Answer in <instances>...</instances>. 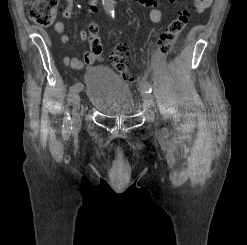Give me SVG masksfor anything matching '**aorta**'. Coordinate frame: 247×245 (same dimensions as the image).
<instances>
[{
	"label": "aorta",
	"mask_w": 247,
	"mask_h": 245,
	"mask_svg": "<svg viewBox=\"0 0 247 245\" xmlns=\"http://www.w3.org/2000/svg\"><path fill=\"white\" fill-rule=\"evenodd\" d=\"M105 10L107 12V14L111 15L112 17H114L115 15V7H114V0H102Z\"/></svg>",
	"instance_id": "762f6f07"
}]
</instances>
